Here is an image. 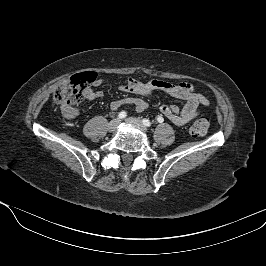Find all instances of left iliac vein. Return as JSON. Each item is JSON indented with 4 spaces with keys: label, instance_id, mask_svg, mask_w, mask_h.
<instances>
[{
    "label": "left iliac vein",
    "instance_id": "obj_1",
    "mask_svg": "<svg viewBox=\"0 0 266 266\" xmlns=\"http://www.w3.org/2000/svg\"><path fill=\"white\" fill-rule=\"evenodd\" d=\"M125 121H126L128 124H131V125H135V126H137V127L140 128L143 132H146V131H147V129H146V127L143 125V123H142L139 119H137V118H132V117H130V118H127Z\"/></svg>",
    "mask_w": 266,
    "mask_h": 266
}]
</instances>
